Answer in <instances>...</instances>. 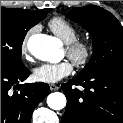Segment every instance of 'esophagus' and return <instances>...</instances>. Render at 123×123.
Instances as JSON below:
<instances>
[{
	"mask_svg": "<svg viewBox=\"0 0 123 123\" xmlns=\"http://www.w3.org/2000/svg\"><path fill=\"white\" fill-rule=\"evenodd\" d=\"M49 88L51 91H55V90H58L59 89V86L55 85V84H50L49 85Z\"/></svg>",
	"mask_w": 123,
	"mask_h": 123,
	"instance_id": "obj_1",
	"label": "esophagus"
}]
</instances>
